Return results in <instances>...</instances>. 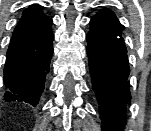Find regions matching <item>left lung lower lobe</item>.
<instances>
[{"label": "left lung lower lobe", "mask_w": 151, "mask_h": 131, "mask_svg": "<svg viewBox=\"0 0 151 131\" xmlns=\"http://www.w3.org/2000/svg\"><path fill=\"white\" fill-rule=\"evenodd\" d=\"M124 26L115 14L103 9L90 21L87 54L92 88L99 103L103 131H122L130 101V69L122 37Z\"/></svg>", "instance_id": "0a47b994"}]
</instances>
